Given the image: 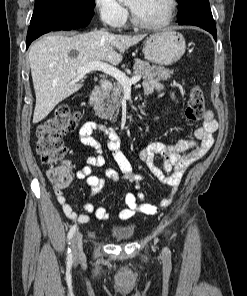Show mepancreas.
Returning a JSON list of instances; mask_svg holds the SVG:
<instances>
[{"label":"pancreas","mask_w":247,"mask_h":296,"mask_svg":"<svg viewBox=\"0 0 247 296\" xmlns=\"http://www.w3.org/2000/svg\"><path fill=\"white\" fill-rule=\"evenodd\" d=\"M133 70L134 76L141 75L144 78H156L163 81L169 79L173 74V70L162 66L150 65L148 62L139 59L135 60ZM122 97V85L120 83L114 84L111 93L104 94L96 103L99 117L115 122L119 114Z\"/></svg>","instance_id":"obj_1"}]
</instances>
